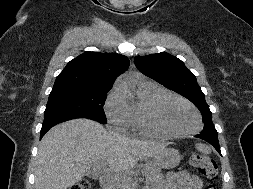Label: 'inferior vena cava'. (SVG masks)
I'll list each match as a JSON object with an SVG mask.
<instances>
[{
    "mask_svg": "<svg viewBox=\"0 0 253 189\" xmlns=\"http://www.w3.org/2000/svg\"><path fill=\"white\" fill-rule=\"evenodd\" d=\"M128 181H126V184L128 185ZM124 186L125 185H123L122 183H121V181L120 180H116L115 179V181H113V183H112V185H111V189H122V188H124Z\"/></svg>",
    "mask_w": 253,
    "mask_h": 189,
    "instance_id": "obj_1",
    "label": "inferior vena cava"
}]
</instances>
